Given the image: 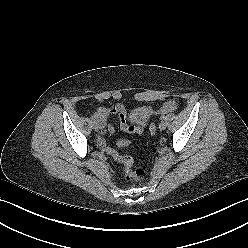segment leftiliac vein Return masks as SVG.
<instances>
[{"label": "left iliac vein", "instance_id": "4c4485c4", "mask_svg": "<svg viewBox=\"0 0 248 248\" xmlns=\"http://www.w3.org/2000/svg\"><path fill=\"white\" fill-rule=\"evenodd\" d=\"M166 126H167V124H166V122H164V121H161V122L159 123V129H160V130H165V129H166Z\"/></svg>", "mask_w": 248, "mask_h": 248}]
</instances>
